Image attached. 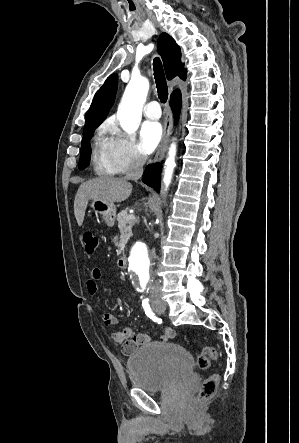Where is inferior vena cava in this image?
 Masks as SVG:
<instances>
[{
	"mask_svg": "<svg viewBox=\"0 0 299 443\" xmlns=\"http://www.w3.org/2000/svg\"><path fill=\"white\" fill-rule=\"evenodd\" d=\"M146 162V157L137 153L135 154L129 170L126 173L125 179L127 180H138L143 172V166ZM151 257H155V249L151 251ZM151 296L155 297L161 293V286L158 280H152L151 284Z\"/></svg>",
	"mask_w": 299,
	"mask_h": 443,
	"instance_id": "602c4592",
	"label": "inferior vena cava"
}]
</instances>
